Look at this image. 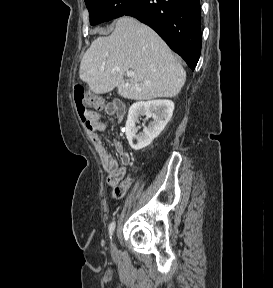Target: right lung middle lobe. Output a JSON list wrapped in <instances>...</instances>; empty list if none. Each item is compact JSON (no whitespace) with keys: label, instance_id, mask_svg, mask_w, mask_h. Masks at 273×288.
<instances>
[{"label":"right lung middle lobe","instance_id":"1","mask_svg":"<svg viewBox=\"0 0 273 288\" xmlns=\"http://www.w3.org/2000/svg\"><path fill=\"white\" fill-rule=\"evenodd\" d=\"M135 0H85L90 24L96 25L123 16Z\"/></svg>","mask_w":273,"mask_h":288}]
</instances>
